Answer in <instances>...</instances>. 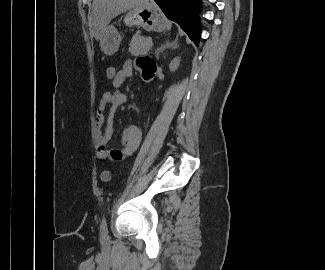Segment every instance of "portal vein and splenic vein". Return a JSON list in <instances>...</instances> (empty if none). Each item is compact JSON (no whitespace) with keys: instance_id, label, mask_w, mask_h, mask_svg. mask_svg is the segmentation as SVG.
I'll use <instances>...</instances> for the list:
<instances>
[{"instance_id":"obj_1","label":"portal vein and splenic vein","mask_w":325,"mask_h":270,"mask_svg":"<svg viewBox=\"0 0 325 270\" xmlns=\"http://www.w3.org/2000/svg\"><path fill=\"white\" fill-rule=\"evenodd\" d=\"M150 40H149V45H150V47H152V45H153V42H152V39L151 38H149Z\"/></svg>"}]
</instances>
